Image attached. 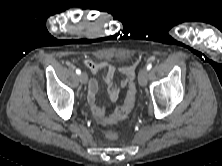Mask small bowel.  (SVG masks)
Here are the masks:
<instances>
[{
	"label": "small bowel",
	"mask_w": 222,
	"mask_h": 166,
	"mask_svg": "<svg viewBox=\"0 0 222 166\" xmlns=\"http://www.w3.org/2000/svg\"><path fill=\"white\" fill-rule=\"evenodd\" d=\"M85 67H87L93 74H97L100 71H104V79L108 85V96L110 102H116L120 95V89L124 88L127 84L134 80L135 69L137 63L132 65H125L118 69V71L124 76L120 85L114 83V75L116 67L107 62H95L93 60H85ZM99 89L98 81L95 78H91L88 83L87 100L91 107V110L95 117L102 123L105 119L107 112V106L99 104L97 102V92Z\"/></svg>",
	"instance_id": "c3829d8e"
}]
</instances>
